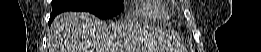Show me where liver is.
Masks as SVG:
<instances>
[{"mask_svg": "<svg viewBox=\"0 0 261 52\" xmlns=\"http://www.w3.org/2000/svg\"><path fill=\"white\" fill-rule=\"evenodd\" d=\"M131 26L106 24L88 12L58 15L49 36V52H124L130 50Z\"/></svg>", "mask_w": 261, "mask_h": 52, "instance_id": "1", "label": "liver"}]
</instances>
